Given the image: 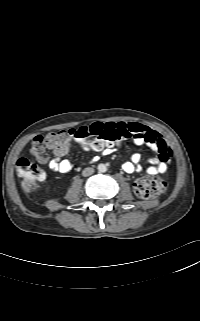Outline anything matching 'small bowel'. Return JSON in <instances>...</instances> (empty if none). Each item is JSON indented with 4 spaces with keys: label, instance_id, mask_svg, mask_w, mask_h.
I'll list each match as a JSON object with an SVG mask.
<instances>
[{
    "label": "small bowel",
    "instance_id": "1",
    "mask_svg": "<svg viewBox=\"0 0 200 321\" xmlns=\"http://www.w3.org/2000/svg\"><path fill=\"white\" fill-rule=\"evenodd\" d=\"M102 125L104 127H112L114 129H122L126 131L128 134L127 139H131L135 145L140 146L145 144L155 152V156L145 160V169L142 165V156L139 153H133L129 160L124 162L122 165L124 172L131 174L144 171L148 175H156L163 174L167 171V164L170 161V158L166 159L165 157L170 155L171 149L169 148L164 137L159 132L146 125L136 122L106 123ZM113 146L114 143H107L101 149L95 150L108 151ZM67 150L68 147L66 145L62 151L53 152V158H47L41 163L47 164L49 169L52 171L63 174L69 173L72 170V163L68 159L63 158V156L67 153Z\"/></svg>",
    "mask_w": 200,
    "mask_h": 321
}]
</instances>
